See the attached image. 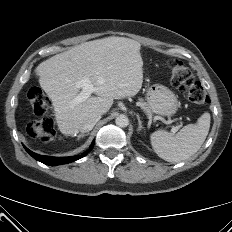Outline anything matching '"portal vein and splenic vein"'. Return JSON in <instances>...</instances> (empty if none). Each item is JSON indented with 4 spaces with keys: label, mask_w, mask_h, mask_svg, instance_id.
<instances>
[{
    "label": "portal vein and splenic vein",
    "mask_w": 232,
    "mask_h": 232,
    "mask_svg": "<svg viewBox=\"0 0 232 232\" xmlns=\"http://www.w3.org/2000/svg\"><path fill=\"white\" fill-rule=\"evenodd\" d=\"M75 85L77 88H81V92L72 99L71 101V105L75 106L78 105L80 103H82L83 101L87 100L92 93H94L96 91L95 87L91 84L90 80L85 78L79 81L75 82ZM179 127H173L171 129V132L174 134L178 131Z\"/></svg>",
    "instance_id": "obj_1"
}]
</instances>
